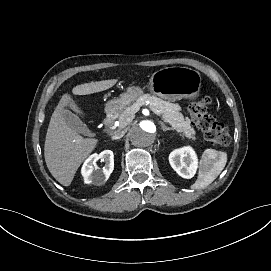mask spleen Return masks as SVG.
Masks as SVG:
<instances>
[{
  "label": "spleen",
  "mask_w": 271,
  "mask_h": 271,
  "mask_svg": "<svg viewBox=\"0 0 271 271\" xmlns=\"http://www.w3.org/2000/svg\"><path fill=\"white\" fill-rule=\"evenodd\" d=\"M227 160L226 151L207 149L200 159L197 180L190 188L198 190L209 186L223 171Z\"/></svg>",
  "instance_id": "spleen-1"
}]
</instances>
